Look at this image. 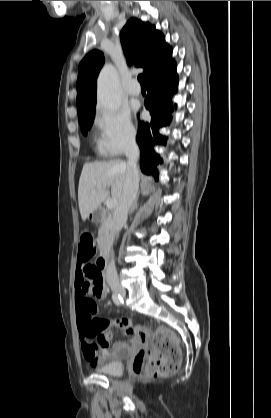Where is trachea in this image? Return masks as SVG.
I'll return each instance as SVG.
<instances>
[{"mask_svg": "<svg viewBox=\"0 0 271 418\" xmlns=\"http://www.w3.org/2000/svg\"><path fill=\"white\" fill-rule=\"evenodd\" d=\"M138 81H139V83H140L141 86H145V84H144V77H143L142 74H140L138 76Z\"/></svg>", "mask_w": 271, "mask_h": 418, "instance_id": "1", "label": "trachea"}]
</instances>
